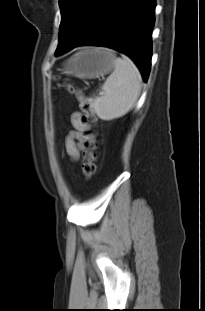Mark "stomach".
<instances>
[{
	"instance_id": "obj_1",
	"label": "stomach",
	"mask_w": 205,
	"mask_h": 311,
	"mask_svg": "<svg viewBox=\"0 0 205 311\" xmlns=\"http://www.w3.org/2000/svg\"><path fill=\"white\" fill-rule=\"evenodd\" d=\"M115 59L116 56L109 49L85 50L73 55L64 64L63 71L67 75L94 79L112 71L115 66Z\"/></svg>"
}]
</instances>
